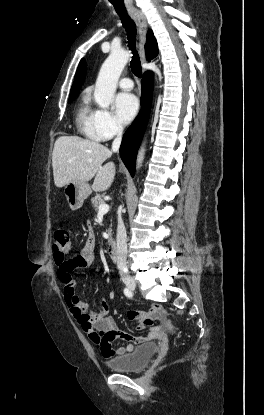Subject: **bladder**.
Wrapping results in <instances>:
<instances>
[{
  "mask_svg": "<svg viewBox=\"0 0 264 415\" xmlns=\"http://www.w3.org/2000/svg\"><path fill=\"white\" fill-rule=\"evenodd\" d=\"M156 351V343L143 344L129 354L107 360L105 364L114 372L143 370L147 367Z\"/></svg>",
  "mask_w": 264,
  "mask_h": 415,
  "instance_id": "31cf9c89",
  "label": "bladder"
}]
</instances>
